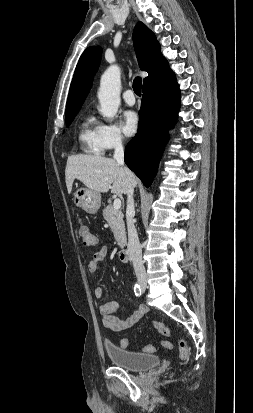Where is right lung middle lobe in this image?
<instances>
[{"mask_svg": "<svg viewBox=\"0 0 253 413\" xmlns=\"http://www.w3.org/2000/svg\"><path fill=\"white\" fill-rule=\"evenodd\" d=\"M75 116H76V114L66 117V127H68L71 124V122L73 121Z\"/></svg>", "mask_w": 253, "mask_h": 413, "instance_id": "obj_1", "label": "right lung middle lobe"}]
</instances>
